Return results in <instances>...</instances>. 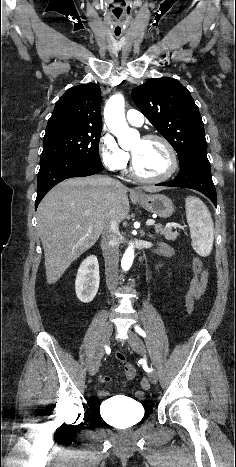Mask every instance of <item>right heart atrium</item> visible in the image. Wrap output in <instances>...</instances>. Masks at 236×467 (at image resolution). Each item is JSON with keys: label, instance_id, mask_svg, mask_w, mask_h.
I'll return each mask as SVG.
<instances>
[{"label": "right heart atrium", "instance_id": "obj_1", "mask_svg": "<svg viewBox=\"0 0 236 467\" xmlns=\"http://www.w3.org/2000/svg\"><path fill=\"white\" fill-rule=\"evenodd\" d=\"M99 154L103 165L112 172H124L130 162L129 154L107 132L100 137Z\"/></svg>", "mask_w": 236, "mask_h": 467}]
</instances>
